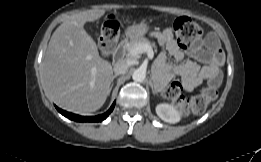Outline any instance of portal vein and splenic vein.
<instances>
[{
    "mask_svg": "<svg viewBox=\"0 0 261 162\" xmlns=\"http://www.w3.org/2000/svg\"><path fill=\"white\" fill-rule=\"evenodd\" d=\"M142 53H147L149 59H152L154 57L153 49L149 44H138L129 51V54L131 56H137Z\"/></svg>",
    "mask_w": 261,
    "mask_h": 162,
    "instance_id": "18ae733b",
    "label": "portal vein and splenic vein"
}]
</instances>
